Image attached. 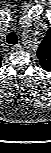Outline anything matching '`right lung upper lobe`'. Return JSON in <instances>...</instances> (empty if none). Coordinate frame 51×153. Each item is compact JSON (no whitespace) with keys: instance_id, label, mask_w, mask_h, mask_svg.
<instances>
[{"instance_id":"cb5924a9","label":"right lung upper lobe","mask_w":51,"mask_h":153,"mask_svg":"<svg viewBox=\"0 0 51 153\" xmlns=\"http://www.w3.org/2000/svg\"><path fill=\"white\" fill-rule=\"evenodd\" d=\"M1 60H2V57L0 56V65H1Z\"/></svg>"}]
</instances>
